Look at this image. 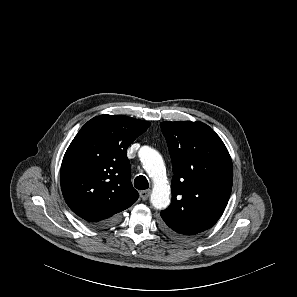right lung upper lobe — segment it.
<instances>
[{
    "mask_svg": "<svg viewBox=\"0 0 297 297\" xmlns=\"http://www.w3.org/2000/svg\"><path fill=\"white\" fill-rule=\"evenodd\" d=\"M150 125L123 115H100L80 129L61 166L62 193L75 214L95 224L118 215L138 199L126 152Z\"/></svg>",
    "mask_w": 297,
    "mask_h": 297,
    "instance_id": "right-lung-upper-lobe-1",
    "label": "right lung upper lobe"
}]
</instances>
